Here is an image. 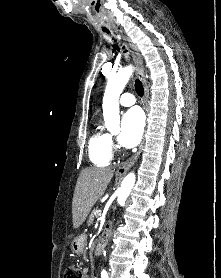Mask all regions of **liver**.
<instances>
[{"label": "liver", "instance_id": "1", "mask_svg": "<svg viewBox=\"0 0 221 278\" xmlns=\"http://www.w3.org/2000/svg\"><path fill=\"white\" fill-rule=\"evenodd\" d=\"M114 171L109 168L89 167L81 171L72 201L73 227L79 228L97 200L104 194Z\"/></svg>", "mask_w": 221, "mask_h": 278}]
</instances>
